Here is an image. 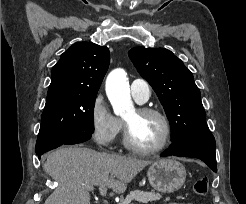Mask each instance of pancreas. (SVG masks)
<instances>
[{"label": "pancreas", "mask_w": 246, "mask_h": 204, "mask_svg": "<svg viewBox=\"0 0 246 204\" xmlns=\"http://www.w3.org/2000/svg\"><path fill=\"white\" fill-rule=\"evenodd\" d=\"M162 197L160 193L155 192H144V191H131L130 194L126 196L125 199H122L119 204H133V201L147 204L148 202L157 201Z\"/></svg>", "instance_id": "cf45deb5"}]
</instances>
